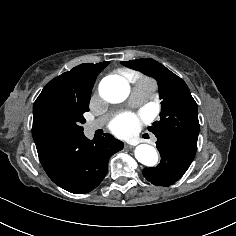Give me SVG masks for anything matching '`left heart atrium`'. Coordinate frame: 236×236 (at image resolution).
Returning a JSON list of instances; mask_svg holds the SVG:
<instances>
[{
  "instance_id": "1",
  "label": "left heart atrium",
  "mask_w": 236,
  "mask_h": 236,
  "mask_svg": "<svg viewBox=\"0 0 236 236\" xmlns=\"http://www.w3.org/2000/svg\"><path fill=\"white\" fill-rule=\"evenodd\" d=\"M142 122L141 116L133 113H124L111 122L110 129L120 137H129L140 128Z\"/></svg>"
}]
</instances>
